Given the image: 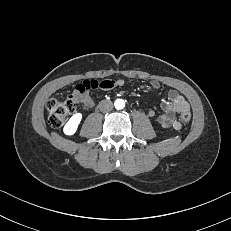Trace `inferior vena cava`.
I'll return each instance as SVG.
<instances>
[{
	"label": "inferior vena cava",
	"instance_id": "inferior-vena-cava-1",
	"mask_svg": "<svg viewBox=\"0 0 231 231\" xmlns=\"http://www.w3.org/2000/svg\"><path fill=\"white\" fill-rule=\"evenodd\" d=\"M113 109V103L109 100H102L99 103V110L103 113L109 112Z\"/></svg>",
	"mask_w": 231,
	"mask_h": 231
}]
</instances>
